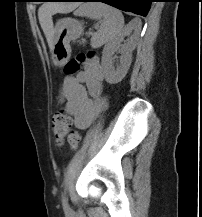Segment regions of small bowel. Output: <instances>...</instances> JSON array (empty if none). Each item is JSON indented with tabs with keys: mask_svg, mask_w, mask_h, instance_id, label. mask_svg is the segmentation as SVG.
<instances>
[{
	"mask_svg": "<svg viewBox=\"0 0 202 217\" xmlns=\"http://www.w3.org/2000/svg\"><path fill=\"white\" fill-rule=\"evenodd\" d=\"M104 74L97 59L87 62L76 76H66L60 85L59 95L79 129L88 128L105 106Z\"/></svg>",
	"mask_w": 202,
	"mask_h": 217,
	"instance_id": "1",
	"label": "small bowel"
}]
</instances>
